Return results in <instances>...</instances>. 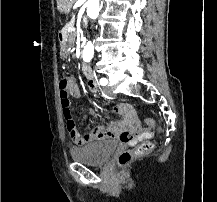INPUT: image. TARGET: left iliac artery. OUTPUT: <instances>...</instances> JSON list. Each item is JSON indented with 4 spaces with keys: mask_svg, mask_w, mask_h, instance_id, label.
<instances>
[{
    "mask_svg": "<svg viewBox=\"0 0 217 202\" xmlns=\"http://www.w3.org/2000/svg\"><path fill=\"white\" fill-rule=\"evenodd\" d=\"M107 83H108V80H107L106 78H101V79H100V84H101L102 86L107 85Z\"/></svg>",
    "mask_w": 217,
    "mask_h": 202,
    "instance_id": "1",
    "label": "left iliac artery"
}]
</instances>
